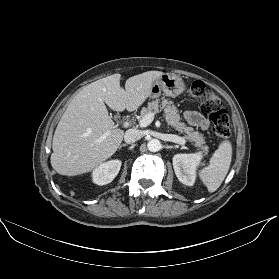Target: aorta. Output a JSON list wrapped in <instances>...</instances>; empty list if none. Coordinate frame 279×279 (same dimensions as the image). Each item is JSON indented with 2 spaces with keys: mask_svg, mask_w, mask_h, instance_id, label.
<instances>
[{
  "mask_svg": "<svg viewBox=\"0 0 279 279\" xmlns=\"http://www.w3.org/2000/svg\"><path fill=\"white\" fill-rule=\"evenodd\" d=\"M147 148L151 152H157L161 149V142L158 139H151L147 143Z\"/></svg>",
  "mask_w": 279,
  "mask_h": 279,
  "instance_id": "aorta-1",
  "label": "aorta"
}]
</instances>
